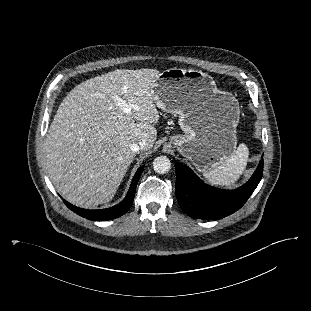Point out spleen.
<instances>
[{"instance_id": "obj_1", "label": "spleen", "mask_w": 311, "mask_h": 311, "mask_svg": "<svg viewBox=\"0 0 311 311\" xmlns=\"http://www.w3.org/2000/svg\"><path fill=\"white\" fill-rule=\"evenodd\" d=\"M249 157L245 144H240L221 165L203 172L204 178L215 186H233L244 173Z\"/></svg>"}]
</instances>
